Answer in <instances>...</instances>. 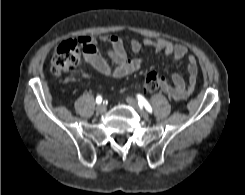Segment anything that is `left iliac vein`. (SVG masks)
Returning <instances> with one entry per match:
<instances>
[{"label":"left iliac vein","mask_w":245,"mask_h":195,"mask_svg":"<svg viewBox=\"0 0 245 195\" xmlns=\"http://www.w3.org/2000/svg\"><path fill=\"white\" fill-rule=\"evenodd\" d=\"M126 101H127V103L130 105V106H132L143 118H145V119H147L148 118V113L144 110V109H142V108H140V106H139V104H138V102L134 99V98H132V97H127L126 98Z\"/></svg>","instance_id":"1"}]
</instances>
